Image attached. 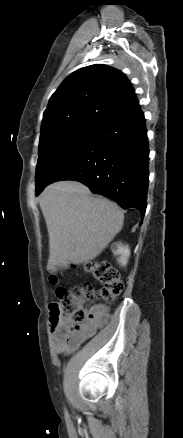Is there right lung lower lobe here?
I'll return each mask as SVG.
<instances>
[{"label":"right lung lower lobe","mask_w":183,"mask_h":438,"mask_svg":"<svg viewBox=\"0 0 183 438\" xmlns=\"http://www.w3.org/2000/svg\"><path fill=\"white\" fill-rule=\"evenodd\" d=\"M148 156L145 119L136 105L97 126L88 143L49 184L58 180L80 181L123 209H138L143 217L147 206Z\"/></svg>","instance_id":"98d812e1"}]
</instances>
